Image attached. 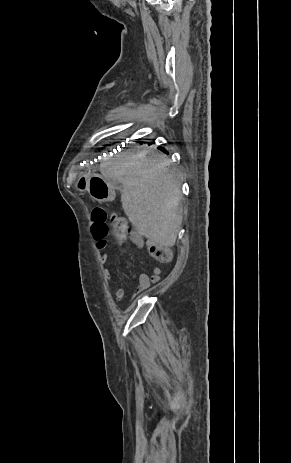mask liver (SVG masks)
Instances as JSON below:
<instances>
[{"label":"liver","mask_w":291,"mask_h":463,"mask_svg":"<svg viewBox=\"0 0 291 463\" xmlns=\"http://www.w3.org/2000/svg\"><path fill=\"white\" fill-rule=\"evenodd\" d=\"M169 165L151 150L126 151L100 165L105 179L122 184V207L136 231L164 247L175 244L182 223L180 185Z\"/></svg>","instance_id":"obj_1"}]
</instances>
